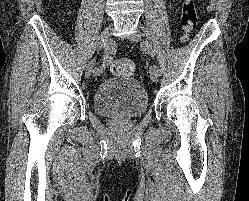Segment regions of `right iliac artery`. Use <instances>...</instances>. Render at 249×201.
<instances>
[{
	"label": "right iliac artery",
	"instance_id": "1",
	"mask_svg": "<svg viewBox=\"0 0 249 201\" xmlns=\"http://www.w3.org/2000/svg\"><path fill=\"white\" fill-rule=\"evenodd\" d=\"M111 55H112L111 47L106 46L104 48V61H103V64H102V66L95 68V70L93 71L94 75H100L105 70L106 66L110 62Z\"/></svg>",
	"mask_w": 249,
	"mask_h": 201
}]
</instances>
